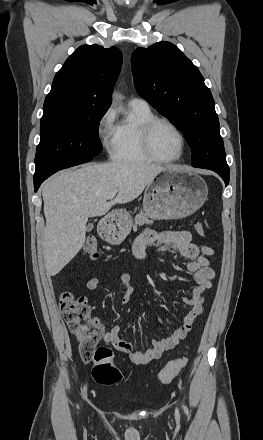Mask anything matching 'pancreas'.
I'll return each mask as SVG.
<instances>
[{
    "label": "pancreas",
    "instance_id": "cf45deb5",
    "mask_svg": "<svg viewBox=\"0 0 263 440\" xmlns=\"http://www.w3.org/2000/svg\"><path fill=\"white\" fill-rule=\"evenodd\" d=\"M153 221L152 220H148V218L145 216V214H143L142 212L137 214L134 220V225L133 227H137V225H144V224H152Z\"/></svg>",
    "mask_w": 263,
    "mask_h": 440
}]
</instances>
